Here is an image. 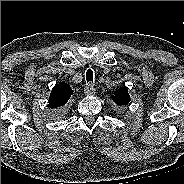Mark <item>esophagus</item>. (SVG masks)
Masks as SVG:
<instances>
[{
  "label": "esophagus",
  "instance_id": "1",
  "mask_svg": "<svg viewBox=\"0 0 184 184\" xmlns=\"http://www.w3.org/2000/svg\"><path fill=\"white\" fill-rule=\"evenodd\" d=\"M84 93H85V95H87V96L94 95V94H95V88H94L93 84L88 83V84L85 86V88H84Z\"/></svg>",
  "mask_w": 184,
  "mask_h": 184
}]
</instances>
